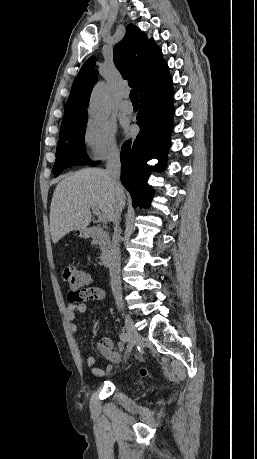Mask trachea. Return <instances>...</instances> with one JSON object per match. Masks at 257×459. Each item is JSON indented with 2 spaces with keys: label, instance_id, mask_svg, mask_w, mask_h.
Masks as SVG:
<instances>
[{
  "label": "trachea",
  "instance_id": "obj_1",
  "mask_svg": "<svg viewBox=\"0 0 257 459\" xmlns=\"http://www.w3.org/2000/svg\"><path fill=\"white\" fill-rule=\"evenodd\" d=\"M130 99L132 102H139L138 92L136 89L130 91Z\"/></svg>",
  "mask_w": 257,
  "mask_h": 459
}]
</instances>
